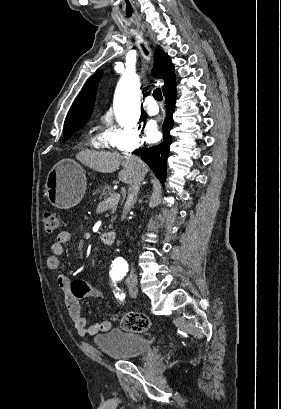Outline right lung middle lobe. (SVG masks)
<instances>
[{"label":"right lung middle lobe","mask_w":281,"mask_h":409,"mask_svg":"<svg viewBox=\"0 0 281 409\" xmlns=\"http://www.w3.org/2000/svg\"><path fill=\"white\" fill-rule=\"evenodd\" d=\"M82 126L83 125L64 127L63 141H66L75 131H77Z\"/></svg>","instance_id":"1"}]
</instances>
